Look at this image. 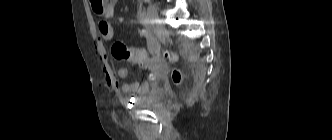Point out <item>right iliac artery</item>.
I'll return each mask as SVG.
<instances>
[{"instance_id": "82829eb1", "label": "right iliac artery", "mask_w": 332, "mask_h": 140, "mask_svg": "<svg viewBox=\"0 0 332 140\" xmlns=\"http://www.w3.org/2000/svg\"><path fill=\"white\" fill-rule=\"evenodd\" d=\"M139 19H140V22L145 25H148L150 23V20L145 12H140Z\"/></svg>"}]
</instances>
